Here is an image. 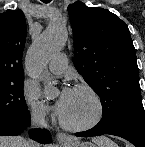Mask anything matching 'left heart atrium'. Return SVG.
<instances>
[{"mask_svg":"<svg viewBox=\"0 0 145 147\" xmlns=\"http://www.w3.org/2000/svg\"><path fill=\"white\" fill-rule=\"evenodd\" d=\"M72 94H73V90L69 87H64L61 90L59 98L55 104V110L60 116L64 114Z\"/></svg>","mask_w":145,"mask_h":147,"instance_id":"1","label":"left heart atrium"}]
</instances>
